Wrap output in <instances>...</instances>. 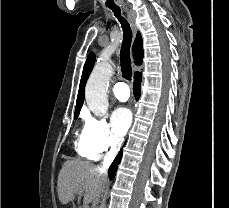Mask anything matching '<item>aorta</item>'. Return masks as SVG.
Here are the masks:
<instances>
[{"label": "aorta", "mask_w": 229, "mask_h": 208, "mask_svg": "<svg viewBox=\"0 0 229 208\" xmlns=\"http://www.w3.org/2000/svg\"><path fill=\"white\" fill-rule=\"evenodd\" d=\"M113 74L109 62H100L94 67L85 87V99L89 109L98 117L105 116L108 111V84Z\"/></svg>", "instance_id": "1"}]
</instances>
